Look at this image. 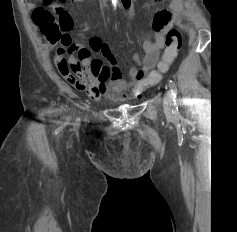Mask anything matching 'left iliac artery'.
<instances>
[{
    "mask_svg": "<svg viewBox=\"0 0 237 232\" xmlns=\"http://www.w3.org/2000/svg\"><path fill=\"white\" fill-rule=\"evenodd\" d=\"M169 88H170L171 94L173 96L174 106L176 109H178L177 108V87L172 80H169Z\"/></svg>",
    "mask_w": 237,
    "mask_h": 232,
    "instance_id": "left-iliac-artery-1",
    "label": "left iliac artery"
}]
</instances>
